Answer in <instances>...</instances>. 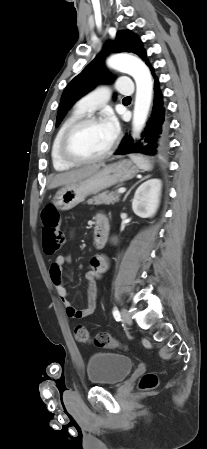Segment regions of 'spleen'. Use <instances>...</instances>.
Here are the masks:
<instances>
[{
    "label": "spleen",
    "mask_w": 207,
    "mask_h": 449,
    "mask_svg": "<svg viewBox=\"0 0 207 449\" xmlns=\"http://www.w3.org/2000/svg\"><path fill=\"white\" fill-rule=\"evenodd\" d=\"M131 160L143 171L152 169L151 163L142 156L130 155Z\"/></svg>",
    "instance_id": "spleen-1"
}]
</instances>
